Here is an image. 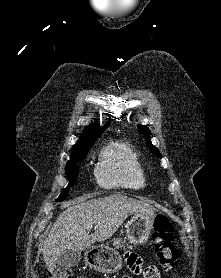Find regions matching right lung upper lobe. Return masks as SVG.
I'll return each instance as SVG.
<instances>
[{
    "label": "right lung upper lobe",
    "instance_id": "cb5924a9",
    "mask_svg": "<svg viewBox=\"0 0 221 278\" xmlns=\"http://www.w3.org/2000/svg\"><path fill=\"white\" fill-rule=\"evenodd\" d=\"M109 124L110 123H107L103 129L97 128L95 126L86 127L83 131L81 138L72 147V151L94 144V142L97 140L100 134L106 130Z\"/></svg>",
    "mask_w": 221,
    "mask_h": 278
}]
</instances>
